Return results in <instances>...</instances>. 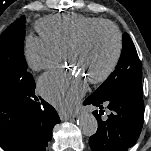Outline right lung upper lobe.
Instances as JSON below:
<instances>
[{
	"instance_id": "cb5924a9",
	"label": "right lung upper lobe",
	"mask_w": 151,
	"mask_h": 151,
	"mask_svg": "<svg viewBox=\"0 0 151 151\" xmlns=\"http://www.w3.org/2000/svg\"><path fill=\"white\" fill-rule=\"evenodd\" d=\"M25 112L23 106L0 99V146L5 151H19L24 136Z\"/></svg>"
}]
</instances>
